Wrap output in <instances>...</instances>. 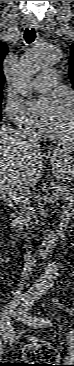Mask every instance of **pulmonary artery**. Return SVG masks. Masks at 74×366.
Returning a JSON list of instances; mask_svg holds the SVG:
<instances>
[{
  "label": "pulmonary artery",
  "mask_w": 74,
  "mask_h": 366,
  "mask_svg": "<svg viewBox=\"0 0 74 366\" xmlns=\"http://www.w3.org/2000/svg\"><path fill=\"white\" fill-rule=\"evenodd\" d=\"M59 80V72L56 69L43 71L31 83V87L37 92H44L53 89Z\"/></svg>",
  "instance_id": "pulmonary-artery-1"
}]
</instances>
